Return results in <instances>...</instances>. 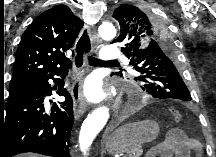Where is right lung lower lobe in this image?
I'll list each match as a JSON object with an SVG mask.
<instances>
[{"instance_id": "98d812e1", "label": "right lung lower lobe", "mask_w": 216, "mask_h": 157, "mask_svg": "<svg viewBox=\"0 0 216 157\" xmlns=\"http://www.w3.org/2000/svg\"><path fill=\"white\" fill-rule=\"evenodd\" d=\"M69 68L71 64L9 92L5 106L3 102L0 107V157H11L22 152L70 157L73 101L63 88ZM49 79L58 86L57 94L64 96L66 101L54 104L51 114L47 115L43 97L51 95L53 88Z\"/></svg>"}]
</instances>
